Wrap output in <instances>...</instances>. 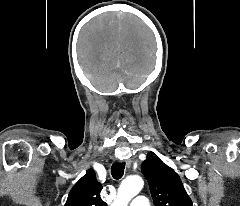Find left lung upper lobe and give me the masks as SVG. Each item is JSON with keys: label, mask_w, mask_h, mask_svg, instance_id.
Here are the masks:
<instances>
[{"label": "left lung upper lobe", "mask_w": 240, "mask_h": 206, "mask_svg": "<svg viewBox=\"0 0 240 206\" xmlns=\"http://www.w3.org/2000/svg\"><path fill=\"white\" fill-rule=\"evenodd\" d=\"M155 206H192L178 174L159 158L149 157L141 167Z\"/></svg>", "instance_id": "5c2ea615"}]
</instances>
